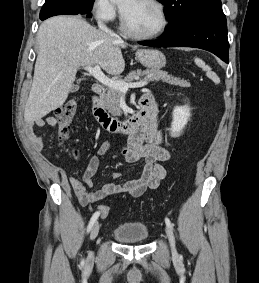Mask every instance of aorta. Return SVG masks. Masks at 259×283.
<instances>
[{
  "mask_svg": "<svg viewBox=\"0 0 259 283\" xmlns=\"http://www.w3.org/2000/svg\"><path fill=\"white\" fill-rule=\"evenodd\" d=\"M112 2H119L120 0H111Z\"/></svg>",
  "mask_w": 259,
  "mask_h": 283,
  "instance_id": "aorta-1",
  "label": "aorta"
}]
</instances>
